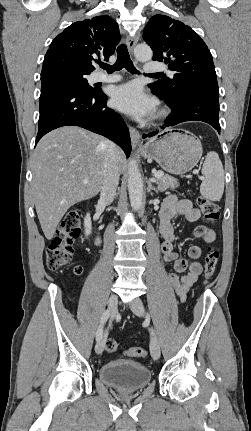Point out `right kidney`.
Returning a JSON list of instances; mask_svg holds the SVG:
<instances>
[{"mask_svg":"<svg viewBox=\"0 0 251 431\" xmlns=\"http://www.w3.org/2000/svg\"><path fill=\"white\" fill-rule=\"evenodd\" d=\"M84 226H85V235L89 236L92 232L91 217L89 213H87V215L85 216Z\"/></svg>","mask_w":251,"mask_h":431,"instance_id":"ca27d5eb","label":"right kidney"}]
</instances>
